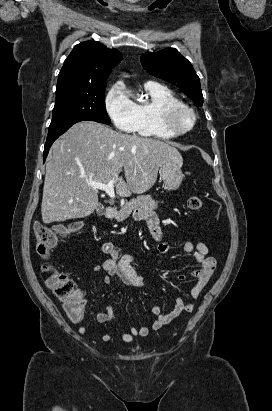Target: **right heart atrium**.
I'll list each match as a JSON object with an SVG mask.
<instances>
[{"label":"right heart atrium","mask_w":272,"mask_h":411,"mask_svg":"<svg viewBox=\"0 0 272 411\" xmlns=\"http://www.w3.org/2000/svg\"><path fill=\"white\" fill-rule=\"evenodd\" d=\"M105 111L122 132H133L136 125L135 103L129 98L124 88L115 84L109 88L104 99Z\"/></svg>","instance_id":"d8ad5b80"}]
</instances>
